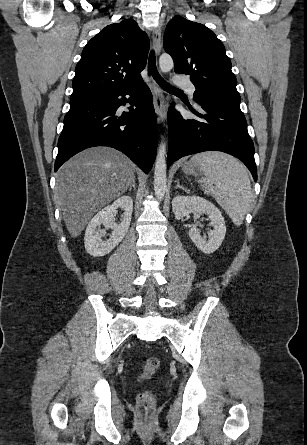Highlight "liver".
<instances>
[{"label":"liver","instance_id":"obj_1","mask_svg":"<svg viewBox=\"0 0 307 445\" xmlns=\"http://www.w3.org/2000/svg\"><path fill=\"white\" fill-rule=\"evenodd\" d=\"M134 168L130 158L110 146L86 148L61 166L55 198L71 237H79L99 208L126 192Z\"/></svg>","mask_w":307,"mask_h":445}]
</instances>
